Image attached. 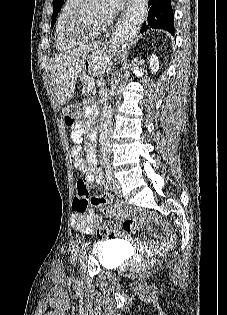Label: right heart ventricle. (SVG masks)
<instances>
[{"label": "right heart ventricle", "mask_w": 227, "mask_h": 315, "mask_svg": "<svg viewBox=\"0 0 227 315\" xmlns=\"http://www.w3.org/2000/svg\"><path fill=\"white\" fill-rule=\"evenodd\" d=\"M80 1L81 0H65L63 3V6L59 12L57 22H56L54 39H55V46L60 51L70 49V48L76 46L77 44H79L78 42H75V43L69 42L65 38L64 26H65V23H66L68 17L73 12L75 7L80 3ZM88 39H90V38H88ZM88 39H84L83 41L88 40Z\"/></svg>", "instance_id": "1"}]
</instances>
